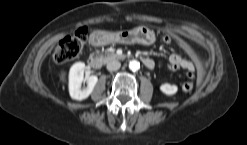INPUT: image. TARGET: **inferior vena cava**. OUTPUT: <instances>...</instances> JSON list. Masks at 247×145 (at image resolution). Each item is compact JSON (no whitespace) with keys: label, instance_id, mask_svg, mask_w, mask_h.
Returning a JSON list of instances; mask_svg holds the SVG:
<instances>
[{"label":"inferior vena cava","instance_id":"inferior-vena-cava-1","mask_svg":"<svg viewBox=\"0 0 247 145\" xmlns=\"http://www.w3.org/2000/svg\"><path fill=\"white\" fill-rule=\"evenodd\" d=\"M121 67V63L118 60H111L107 63V69L109 71H116Z\"/></svg>","mask_w":247,"mask_h":145}]
</instances>
